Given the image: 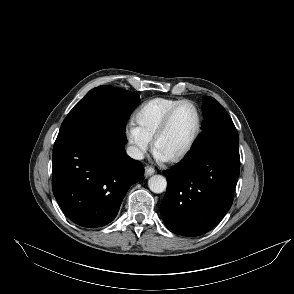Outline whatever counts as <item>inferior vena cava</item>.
<instances>
[{"label": "inferior vena cava", "mask_w": 294, "mask_h": 294, "mask_svg": "<svg viewBox=\"0 0 294 294\" xmlns=\"http://www.w3.org/2000/svg\"><path fill=\"white\" fill-rule=\"evenodd\" d=\"M126 152H127L128 156L131 157L132 159L142 160L144 158L143 152L135 146L127 147Z\"/></svg>", "instance_id": "inferior-vena-cava-1"}]
</instances>
